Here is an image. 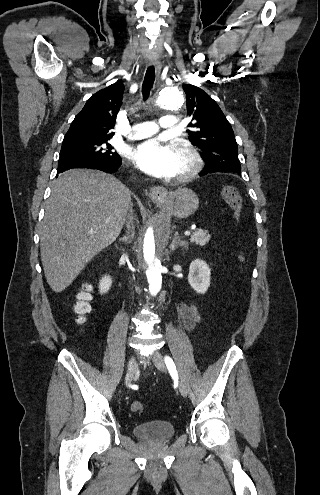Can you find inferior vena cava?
<instances>
[{"mask_svg":"<svg viewBox=\"0 0 320 495\" xmlns=\"http://www.w3.org/2000/svg\"><path fill=\"white\" fill-rule=\"evenodd\" d=\"M131 219H132V217H130V221H129V223L127 224V228H128V230H129V229H130V227H131V226H130Z\"/></svg>","mask_w":320,"mask_h":495,"instance_id":"1","label":"inferior vena cava"}]
</instances>
